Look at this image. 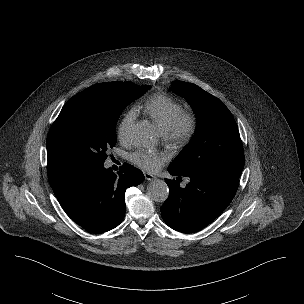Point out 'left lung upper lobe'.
Here are the masks:
<instances>
[{
    "mask_svg": "<svg viewBox=\"0 0 304 304\" xmlns=\"http://www.w3.org/2000/svg\"><path fill=\"white\" fill-rule=\"evenodd\" d=\"M171 90L183 96L197 117L192 141L169 165L182 175L220 174L239 179L244 151L237 124L228 108L195 84L173 81Z\"/></svg>",
    "mask_w": 304,
    "mask_h": 304,
    "instance_id": "obj_1",
    "label": "left lung upper lobe"
}]
</instances>
